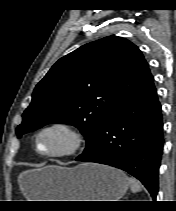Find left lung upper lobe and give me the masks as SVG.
Returning a JSON list of instances; mask_svg holds the SVG:
<instances>
[{"label":"left lung upper lobe","mask_w":176,"mask_h":211,"mask_svg":"<svg viewBox=\"0 0 176 211\" xmlns=\"http://www.w3.org/2000/svg\"><path fill=\"white\" fill-rule=\"evenodd\" d=\"M153 85L141 51L127 39L108 36L59 59L34 89L32 102L17 127L20 138L49 123L77 127L86 150L109 116Z\"/></svg>","instance_id":"5c2ea615"}]
</instances>
